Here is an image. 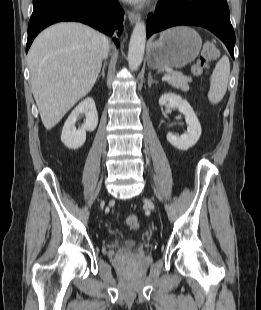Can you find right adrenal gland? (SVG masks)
Returning <instances> with one entry per match:
<instances>
[{
  "mask_svg": "<svg viewBox=\"0 0 261 310\" xmlns=\"http://www.w3.org/2000/svg\"><path fill=\"white\" fill-rule=\"evenodd\" d=\"M106 65H107V63H104V65H103V67H102V72H101V74L99 75V77H100V76H102L103 78L105 77V68H106Z\"/></svg>",
  "mask_w": 261,
  "mask_h": 310,
  "instance_id": "obj_1",
  "label": "right adrenal gland"
}]
</instances>
